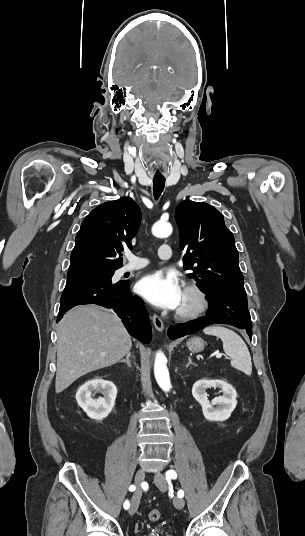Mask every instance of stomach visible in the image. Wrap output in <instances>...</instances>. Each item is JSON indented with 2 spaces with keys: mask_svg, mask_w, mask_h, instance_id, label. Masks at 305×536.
<instances>
[{
  "mask_svg": "<svg viewBox=\"0 0 305 536\" xmlns=\"http://www.w3.org/2000/svg\"><path fill=\"white\" fill-rule=\"evenodd\" d=\"M187 346L190 350V352H202L204 350L205 342H203L202 338H190L189 342H187Z\"/></svg>",
  "mask_w": 305,
  "mask_h": 536,
  "instance_id": "stomach-1",
  "label": "stomach"
}]
</instances>
